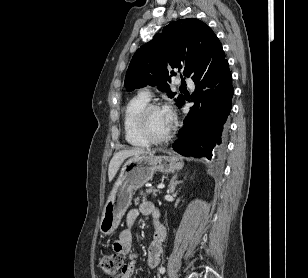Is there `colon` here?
I'll return each instance as SVG.
<instances>
[{
	"mask_svg": "<svg viewBox=\"0 0 308 278\" xmlns=\"http://www.w3.org/2000/svg\"><path fill=\"white\" fill-rule=\"evenodd\" d=\"M99 266L102 271L110 276L118 274L122 268V258L119 254L107 253L99 258Z\"/></svg>",
	"mask_w": 308,
	"mask_h": 278,
	"instance_id": "colon-1",
	"label": "colon"
}]
</instances>
